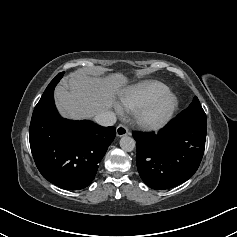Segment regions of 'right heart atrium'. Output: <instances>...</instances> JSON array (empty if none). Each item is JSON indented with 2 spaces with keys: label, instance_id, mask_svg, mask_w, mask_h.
<instances>
[{
  "label": "right heart atrium",
  "instance_id": "1",
  "mask_svg": "<svg viewBox=\"0 0 237 237\" xmlns=\"http://www.w3.org/2000/svg\"><path fill=\"white\" fill-rule=\"evenodd\" d=\"M116 111L118 112V113H122L123 112V109H122V107L118 104V105H116Z\"/></svg>",
  "mask_w": 237,
  "mask_h": 237
}]
</instances>
